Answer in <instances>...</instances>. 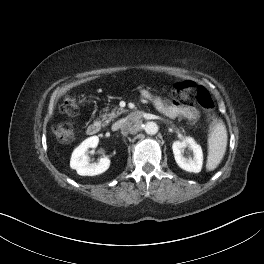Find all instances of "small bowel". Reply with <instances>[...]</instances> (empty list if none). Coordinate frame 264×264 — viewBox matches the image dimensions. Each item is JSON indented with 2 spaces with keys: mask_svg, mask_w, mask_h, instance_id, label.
<instances>
[{
  "mask_svg": "<svg viewBox=\"0 0 264 264\" xmlns=\"http://www.w3.org/2000/svg\"><path fill=\"white\" fill-rule=\"evenodd\" d=\"M141 96L154 103L157 109L169 117H183L189 121H196L199 117V111L193 106L181 105L177 102H169L160 97L152 95L147 90L141 91Z\"/></svg>",
  "mask_w": 264,
  "mask_h": 264,
  "instance_id": "1",
  "label": "small bowel"
}]
</instances>
